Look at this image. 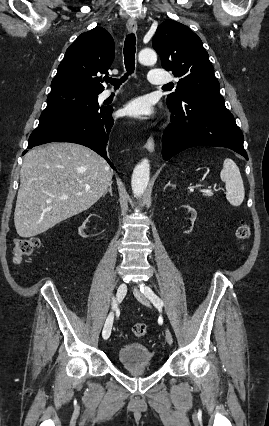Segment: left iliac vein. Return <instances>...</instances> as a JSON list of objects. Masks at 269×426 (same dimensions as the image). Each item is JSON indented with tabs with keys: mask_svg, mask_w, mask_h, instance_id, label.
Wrapping results in <instances>:
<instances>
[{
	"mask_svg": "<svg viewBox=\"0 0 269 426\" xmlns=\"http://www.w3.org/2000/svg\"><path fill=\"white\" fill-rule=\"evenodd\" d=\"M134 295L135 297L144 305L149 306V302L147 301L146 297L137 289L134 288ZM166 341L169 345L173 344V337L169 329H166Z\"/></svg>",
	"mask_w": 269,
	"mask_h": 426,
	"instance_id": "4c4485c4",
	"label": "left iliac vein"
}]
</instances>
